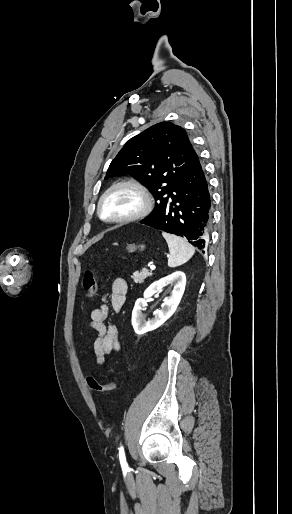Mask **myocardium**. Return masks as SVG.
Returning <instances> with one entry per match:
<instances>
[{
    "instance_id": "f54148a6",
    "label": "myocardium",
    "mask_w": 292,
    "mask_h": 514,
    "mask_svg": "<svg viewBox=\"0 0 292 514\" xmlns=\"http://www.w3.org/2000/svg\"><path fill=\"white\" fill-rule=\"evenodd\" d=\"M120 189H127L135 192L139 198V206L132 212L113 218H106L103 215V205L106 199L113 194L115 191ZM152 207V199L147 189L139 182L134 180L121 181L111 185L100 197L98 202V215L99 217L108 223H127L147 215Z\"/></svg>"
}]
</instances>
